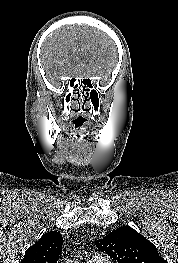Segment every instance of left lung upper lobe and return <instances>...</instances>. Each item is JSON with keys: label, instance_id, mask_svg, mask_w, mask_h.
Here are the masks:
<instances>
[{"label": "left lung upper lobe", "instance_id": "left-lung-upper-lobe-1", "mask_svg": "<svg viewBox=\"0 0 178 263\" xmlns=\"http://www.w3.org/2000/svg\"><path fill=\"white\" fill-rule=\"evenodd\" d=\"M95 245L119 263H167L153 243L129 226L113 230Z\"/></svg>", "mask_w": 178, "mask_h": 263}]
</instances>
